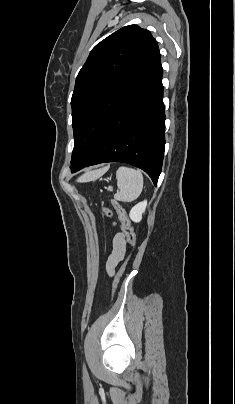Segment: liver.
I'll return each mask as SVG.
<instances>
[{
    "label": "liver",
    "mask_w": 235,
    "mask_h": 404,
    "mask_svg": "<svg viewBox=\"0 0 235 404\" xmlns=\"http://www.w3.org/2000/svg\"><path fill=\"white\" fill-rule=\"evenodd\" d=\"M101 172H102V170L87 172L82 178L83 179H92V178L97 177Z\"/></svg>",
    "instance_id": "obj_1"
}]
</instances>
